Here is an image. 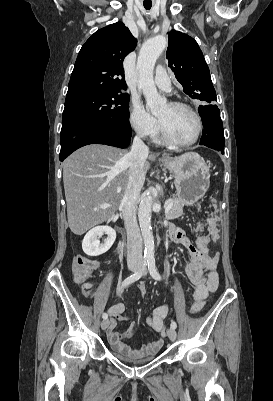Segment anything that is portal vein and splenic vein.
I'll return each instance as SVG.
<instances>
[{
    "label": "portal vein and splenic vein",
    "mask_w": 273,
    "mask_h": 401,
    "mask_svg": "<svg viewBox=\"0 0 273 401\" xmlns=\"http://www.w3.org/2000/svg\"><path fill=\"white\" fill-rule=\"evenodd\" d=\"M164 212L165 213H168L169 212V210H171L172 209V206L171 205H173V202H171V201H165L164 202ZM99 207H100V209H107V207H111V205H109V203H105V205H99Z\"/></svg>",
    "instance_id": "portal-vein-and-splenic-vein-1"
}]
</instances>
